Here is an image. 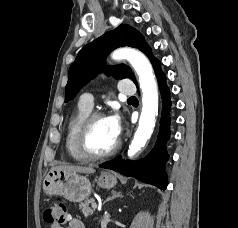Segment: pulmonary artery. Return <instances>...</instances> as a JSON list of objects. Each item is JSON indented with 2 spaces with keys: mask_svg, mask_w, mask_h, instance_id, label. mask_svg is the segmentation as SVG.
<instances>
[{
  "mask_svg": "<svg viewBox=\"0 0 238 228\" xmlns=\"http://www.w3.org/2000/svg\"><path fill=\"white\" fill-rule=\"evenodd\" d=\"M119 91L122 95L131 96L135 94L136 88L130 79H122L119 82ZM80 101L89 108L93 107V96L91 94L83 95Z\"/></svg>",
  "mask_w": 238,
  "mask_h": 228,
  "instance_id": "obj_1",
  "label": "pulmonary artery"
}]
</instances>
